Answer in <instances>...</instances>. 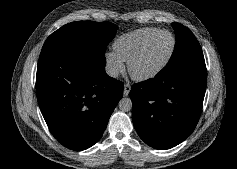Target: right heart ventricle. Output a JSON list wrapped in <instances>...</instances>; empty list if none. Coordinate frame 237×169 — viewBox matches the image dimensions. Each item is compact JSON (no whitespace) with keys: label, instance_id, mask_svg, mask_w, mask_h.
<instances>
[{"label":"right heart ventricle","instance_id":"e07e8e85","mask_svg":"<svg viewBox=\"0 0 237 169\" xmlns=\"http://www.w3.org/2000/svg\"><path fill=\"white\" fill-rule=\"evenodd\" d=\"M158 31L159 29L157 28L145 27L124 33L114 41V52L123 61L129 62L141 45Z\"/></svg>","mask_w":237,"mask_h":169}]
</instances>
